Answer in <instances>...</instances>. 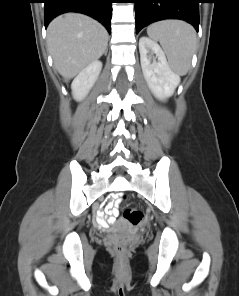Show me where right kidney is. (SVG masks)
I'll return each mask as SVG.
<instances>
[{
    "instance_id": "right-kidney-1",
    "label": "right kidney",
    "mask_w": 239,
    "mask_h": 296,
    "mask_svg": "<svg viewBox=\"0 0 239 296\" xmlns=\"http://www.w3.org/2000/svg\"><path fill=\"white\" fill-rule=\"evenodd\" d=\"M102 69L101 61H93L86 66L71 84L72 94L77 101L82 100L93 87Z\"/></svg>"
}]
</instances>
